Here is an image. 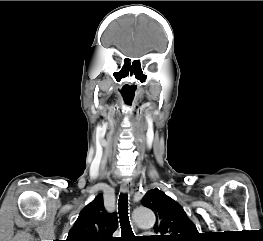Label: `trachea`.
<instances>
[{"mask_svg":"<svg viewBox=\"0 0 263 241\" xmlns=\"http://www.w3.org/2000/svg\"><path fill=\"white\" fill-rule=\"evenodd\" d=\"M118 213L121 226V237L117 241H135L129 216H128V196L127 194H121L118 203Z\"/></svg>","mask_w":263,"mask_h":241,"instance_id":"1","label":"trachea"}]
</instances>
